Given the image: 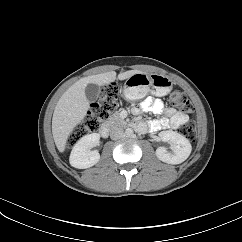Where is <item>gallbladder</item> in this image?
Returning a JSON list of instances; mask_svg holds the SVG:
<instances>
[{
	"label": "gallbladder",
	"instance_id": "obj_1",
	"mask_svg": "<svg viewBox=\"0 0 242 242\" xmlns=\"http://www.w3.org/2000/svg\"><path fill=\"white\" fill-rule=\"evenodd\" d=\"M85 91L87 100L93 102L97 100L100 93V88L96 84H88L85 88Z\"/></svg>",
	"mask_w": 242,
	"mask_h": 242
}]
</instances>
